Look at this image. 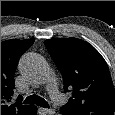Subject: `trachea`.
<instances>
[{
  "label": "trachea",
  "mask_w": 115,
  "mask_h": 115,
  "mask_svg": "<svg viewBox=\"0 0 115 115\" xmlns=\"http://www.w3.org/2000/svg\"><path fill=\"white\" fill-rule=\"evenodd\" d=\"M24 104H37L40 107L49 108L48 102L36 95L28 96L24 100Z\"/></svg>",
  "instance_id": "trachea-1"
}]
</instances>
